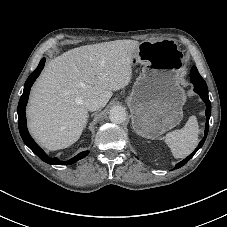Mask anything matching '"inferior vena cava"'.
Returning a JSON list of instances; mask_svg holds the SVG:
<instances>
[{"label":"inferior vena cava","instance_id":"inferior-vena-cava-1","mask_svg":"<svg viewBox=\"0 0 227 227\" xmlns=\"http://www.w3.org/2000/svg\"><path fill=\"white\" fill-rule=\"evenodd\" d=\"M86 108L89 111H96L104 106L103 100L98 97H91L85 102Z\"/></svg>","mask_w":227,"mask_h":227}]
</instances>
